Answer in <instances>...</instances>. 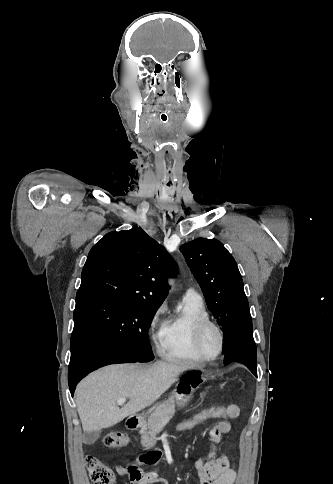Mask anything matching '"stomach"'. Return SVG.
<instances>
[{
  "instance_id": "0dacf381",
  "label": "stomach",
  "mask_w": 333,
  "mask_h": 484,
  "mask_svg": "<svg viewBox=\"0 0 333 484\" xmlns=\"http://www.w3.org/2000/svg\"><path fill=\"white\" fill-rule=\"evenodd\" d=\"M202 378L196 377L184 379L176 385L173 393L156 405V410L165 405L170 398L175 399V404L179 407L184 406L192 397L194 391L202 384Z\"/></svg>"
}]
</instances>
